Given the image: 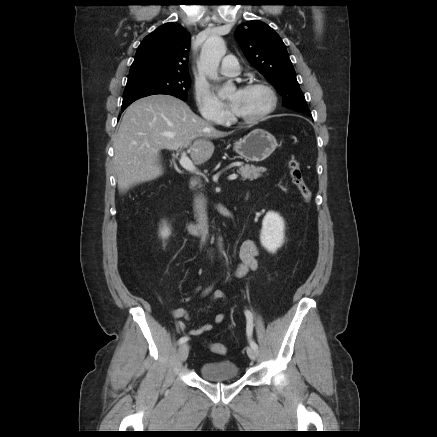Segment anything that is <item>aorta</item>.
<instances>
[{
	"mask_svg": "<svg viewBox=\"0 0 437 437\" xmlns=\"http://www.w3.org/2000/svg\"><path fill=\"white\" fill-rule=\"evenodd\" d=\"M225 53L226 45L223 38L220 36L209 37L202 46L198 70L211 79H218V67ZM234 90V84L227 82L222 90L218 92V96L221 98L227 97ZM219 245L221 246V244Z\"/></svg>",
	"mask_w": 437,
	"mask_h": 437,
	"instance_id": "762f6f07",
	"label": "aorta"
}]
</instances>
